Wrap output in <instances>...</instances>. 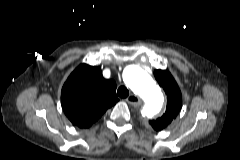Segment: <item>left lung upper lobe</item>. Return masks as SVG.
<instances>
[{
  "mask_svg": "<svg viewBox=\"0 0 240 160\" xmlns=\"http://www.w3.org/2000/svg\"><path fill=\"white\" fill-rule=\"evenodd\" d=\"M154 76L167 95V107L165 113L157 118L149 120V124L156 130L166 128L178 115L182 106L181 91L167 70H155Z\"/></svg>",
  "mask_w": 240,
  "mask_h": 160,
  "instance_id": "1",
  "label": "left lung upper lobe"
}]
</instances>
